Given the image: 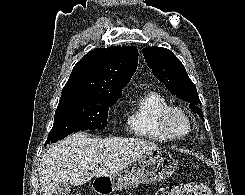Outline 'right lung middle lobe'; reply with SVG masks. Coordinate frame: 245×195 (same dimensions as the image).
<instances>
[{"mask_svg":"<svg viewBox=\"0 0 245 195\" xmlns=\"http://www.w3.org/2000/svg\"><path fill=\"white\" fill-rule=\"evenodd\" d=\"M118 98L90 92L62 94L45 145L55 143L76 131L105 129L109 108Z\"/></svg>","mask_w":245,"mask_h":195,"instance_id":"1","label":"right lung middle lobe"}]
</instances>
